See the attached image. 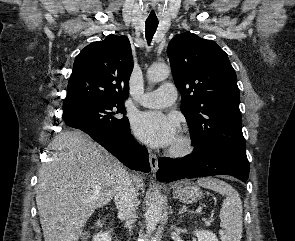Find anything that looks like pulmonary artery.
Instances as JSON below:
<instances>
[{"label": "pulmonary artery", "instance_id": "obj_1", "mask_svg": "<svg viewBox=\"0 0 295 241\" xmlns=\"http://www.w3.org/2000/svg\"><path fill=\"white\" fill-rule=\"evenodd\" d=\"M177 90L170 84L166 83L153 92L142 95L139 102L142 106L148 108H164L176 101Z\"/></svg>", "mask_w": 295, "mask_h": 241}]
</instances>
